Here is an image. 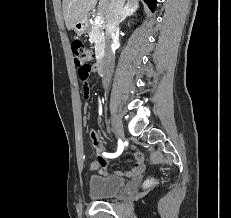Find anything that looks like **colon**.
I'll return each mask as SVG.
<instances>
[{"instance_id": "1", "label": "colon", "mask_w": 231, "mask_h": 218, "mask_svg": "<svg viewBox=\"0 0 231 218\" xmlns=\"http://www.w3.org/2000/svg\"><path fill=\"white\" fill-rule=\"evenodd\" d=\"M71 49L74 56V62L78 69L80 66H92L94 64L95 55L91 49L85 46L81 40H74L71 43ZM93 67V66H92ZM155 181L149 179L145 182L146 187L153 186Z\"/></svg>"}]
</instances>
